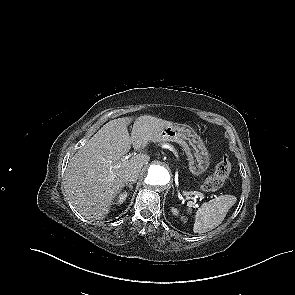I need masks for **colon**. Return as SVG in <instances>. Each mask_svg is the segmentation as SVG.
Instances as JSON below:
<instances>
[{"instance_id":"1","label":"colon","mask_w":295,"mask_h":295,"mask_svg":"<svg viewBox=\"0 0 295 295\" xmlns=\"http://www.w3.org/2000/svg\"><path fill=\"white\" fill-rule=\"evenodd\" d=\"M231 172V163L227 156H223L216 165L214 173L202 184L205 192H213L219 189L227 180Z\"/></svg>"}]
</instances>
